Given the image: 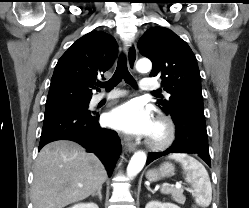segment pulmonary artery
Instances as JSON below:
<instances>
[{
	"label": "pulmonary artery",
	"instance_id": "1",
	"mask_svg": "<svg viewBox=\"0 0 249 208\" xmlns=\"http://www.w3.org/2000/svg\"><path fill=\"white\" fill-rule=\"evenodd\" d=\"M139 87L141 89V91L149 93V92H153L155 91L157 88H159V84L158 82H156L153 79L150 78H143L141 79L140 83H139ZM126 93L124 92H115V93H111L109 95H97L94 100L93 103H99L102 100H109V99H114L117 97H121L124 96Z\"/></svg>",
	"mask_w": 249,
	"mask_h": 208
}]
</instances>
